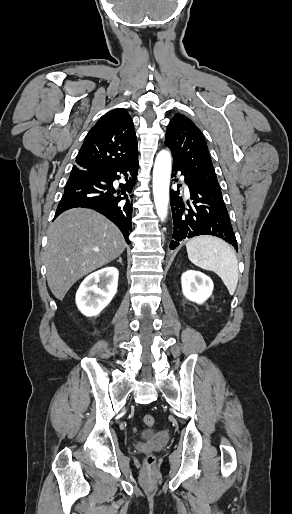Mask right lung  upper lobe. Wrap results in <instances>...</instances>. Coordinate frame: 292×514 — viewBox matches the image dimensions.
I'll list each match as a JSON object with an SVG mask.
<instances>
[{"mask_svg":"<svg viewBox=\"0 0 292 514\" xmlns=\"http://www.w3.org/2000/svg\"><path fill=\"white\" fill-rule=\"evenodd\" d=\"M133 121L124 108L104 115L88 132L72 171H101L138 157Z\"/></svg>","mask_w":292,"mask_h":514,"instance_id":"1","label":"right lung upper lobe"}]
</instances>
